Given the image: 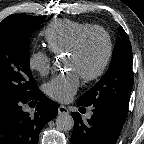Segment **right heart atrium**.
Listing matches in <instances>:
<instances>
[{
  "label": "right heart atrium",
  "mask_w": 144,
  "mask_h": 144,
  "mask_svg": "<svg viewBox=\"0 0 144 144\" xmlns=\"http://www.w3.org/2000/svg\"><path fill=\"white\" fill-rule=\"evenodd\" d=\"M28 65L39 75H46L51 69V55L44 50H34L28 57Z\"/></svg>",
  "instance_id": "d8ad5b80"
}]
</instances>
